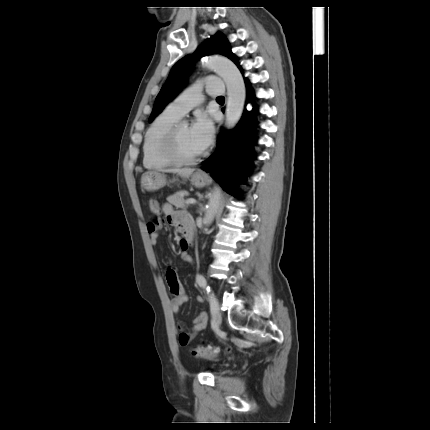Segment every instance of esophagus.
Instances as JSON below:
<instances>
[{"instance_id": "1", "label": "esophagus", "mask_w": 430, "mask_h": 430, "mask_svg": "<svg viewBox=\"0 0 430 430\" xmlns=\"http://www.w3.org/2000/svg\"><path fill=\"white\" fill-rule=\"evenodd\" d=\"M199 173L204 174L202 171H200Z\"/></svg>"}]
</instances>
